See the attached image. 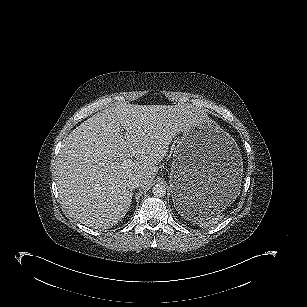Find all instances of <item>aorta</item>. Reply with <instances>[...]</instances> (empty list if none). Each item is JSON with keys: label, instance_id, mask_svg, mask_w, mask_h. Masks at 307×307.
I'll list each match as a JSON object with an SVG mask.
<instances>
[{"label": "aorta", "instance_id": "obj_1", "mask_svg": "<svg viewBox=\"0 0 307 307\" xmlns=\"http://www.w3.org/2000/svg\"><path fill=\"white\" fill-rule=\"evenodd\" d=\"M152 193L155 197H163L166 195V187L162 184H156L152 188Z\"/></svg>", "mask_w": 307, "mask_h": 307}]
</instances>
